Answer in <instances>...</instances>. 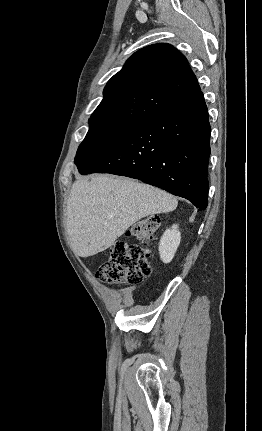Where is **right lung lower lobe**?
Listing matches in <instances>:
<instances>
[{"label":"right lung lower lobe","mask_w":262,"mask_h":431,"mask_svg":"<svg viewBox=\"0 0 262 431\" xmlns=\"http://www.w3.org/2000/svg\"><path fill=\"white\" fill-rule=\"evenodd\" d=\"M210 124L203 93L135 124L81 174L139 179L205 210Z\"/></svg>","instance_id":"1"}]
</instances>
